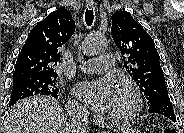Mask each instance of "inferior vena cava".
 <instances>
[{"mask_svg":"<svg viewBox=\"0 0 184 133\" xmlns=\"http://www.w3.org/2000/svg\"><path fill=\"white\" fill-rule=\"evenodd\" d=\"M68 115L70 118V132L72 133H88V116L89 112L81 106H74L69 109Z\"/></svg>","mask_w":184,"mask_h":133,"instance_id":"obj_1","label":"inferior vena cava"}]
</instances>
